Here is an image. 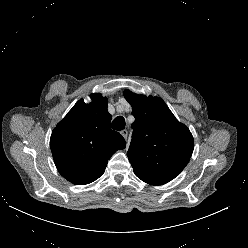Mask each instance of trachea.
Here are the masks:
<instances>
[{
    "label": "trachea",
    "instance_id": "1",
    "mask_svg": "<svg viewBox=\"0 0 248 248\" xmlns=\"http://www.w3.org/2000/svg\"><path fill=\"white\" fill-rule=\"evenodd\" d=\"M112 128L118 131L123 130L125 128V119L122 116H117L112 121Z\"/></svg>",
    "mask_w": 248,
    "mask_h": 248
}]
</instances>
